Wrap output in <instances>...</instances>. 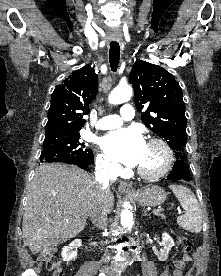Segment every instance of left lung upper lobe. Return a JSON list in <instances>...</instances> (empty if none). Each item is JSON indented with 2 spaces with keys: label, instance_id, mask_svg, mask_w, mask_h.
I'll list each match as a JSON object with an SVG mask.
<instances>
[{
  "label": "left lung upper lobe",
  "instance_id": "obj_1",
  "mask_svg": "<svg viewBox=\"0 0 221 276\" xmlns=\"http://www.w3.org/2000/svg\"><path fill=\"white\" fill-rule=\"evenodd\" d=\"M135 91V105L142 122L164 138L177 159L186 161L187 140L185 104L181 87L164 68L138 59L130 73Z\"/></svg>",
  "mask_w": 221,
  "mask_h": 276
}]
</instances>
